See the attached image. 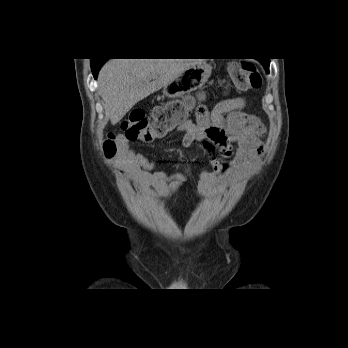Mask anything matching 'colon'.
I'll use <instances>...</instances> for the list:
<instances>
[{"label": "colon", "mask_w": 348, "mask_h": 348, "mask_svg": "<svg viewBox=\"0 0 348 348\" xmlns=\"http://www.w3.org/2000/svg\"><path fill=\"white\" fill-rule=\"evenodd\" d=\"M229 69L237 88L249 90L261 85V74L253 63L239 60L231 63ZM187 114L186 104L179 100L166 101L156 106L149 116L142 109H134L122 123L124 137L128 141L152 142L184 124ZM102 148L107 158L115 157L120 149L117 137L110 134Z\"/></svg>", "instance_id": "1"}]
</instances>
